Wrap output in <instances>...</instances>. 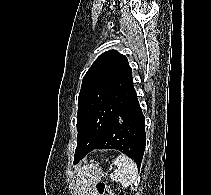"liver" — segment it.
Segmentation results:
<instances>
[{"instance_id":"6515ba94","label":"liver","mask_w":211,"mask_h":195,"mask_svg":"<svg viewBox=\"0 0 211 195\" xmlns=\"http://www.w3.org/2000/svg\"><path fill=\"white\" fill-rule=\"evenodd\" d=\"M85 169V167L81 168L78 172L77 175V179H76V185L77 187H79V185L81 184V180H82V175H83V170Z\"/></svg>"}]
</instances>
